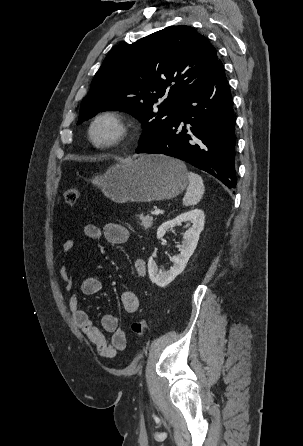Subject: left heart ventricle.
<instances>
[{
	"label": "left heart ventricle",
	"mask_w": 303,
	"mask_h": 446,
	"mask_svg": "<svg viewBox=\"0 0 303 446\" xmlns=\"http://www.w3.org/2000/svg\"><path fill=\"white\" fill-rule=\"evenodd\" d=\"M114 133L112 125L108 122H100L93 131L94 139L98 142H104L111 138Z\"/></svg>",
	"instance_id": "left-heart-ventricle-1"
}]
</instances>
